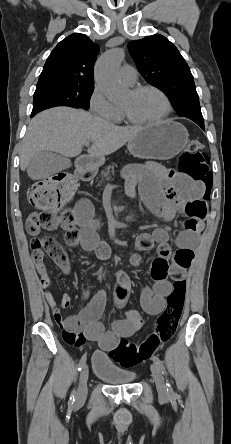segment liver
<instances>
[{
	"mask_svg": "<svg viewBox=\"0 0 231 444\" xmlns=\"http://www.w3.org/2000/svg\"><path fill=\"white\" fill-rule=\"evenodd\" d=\"M144 127H120L90 113L70 107H55L38 113L29 123L20 148L24 171L38 152L52 151L65 158L76 157L85 142L88 156L104 157L132 139Z\"/></svg>",
	"mask_w": 231,
	"mask_h": 444,
	"instance_id": "liver-1",
	"label": "liver"
}]
</instances>
